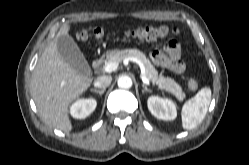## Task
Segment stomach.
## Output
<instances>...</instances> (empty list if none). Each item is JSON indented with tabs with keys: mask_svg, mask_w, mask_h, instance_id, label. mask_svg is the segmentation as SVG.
<instances>
[{
	"mask_svg": "<svg viewBox=\"0 0 249 165\" xmlns=\"http://www.w3.org/2000/svg\"><path fill=\"white\" fill-rule=\"evenodd\" d=\"M115 52V50H111L107 53V56H110L111 54H113Z\"/></svg>",
	"mask_w": 249,
	"mask_h": 165,
	"instance_id": "0dacf381",
	"label": "stomach"
}]
</instances>
